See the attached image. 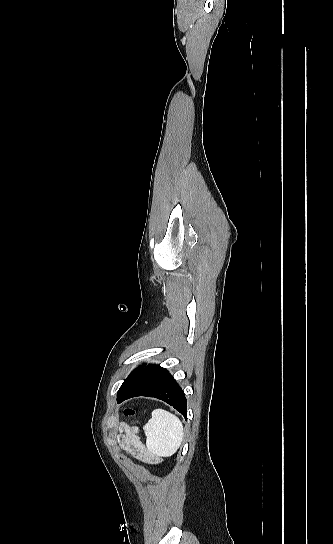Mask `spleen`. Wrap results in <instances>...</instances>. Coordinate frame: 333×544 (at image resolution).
Segmentation results:
<instances>
[{"label": "spleen", "mask_w": 333, "mask_h": 544, "mask_svg": "<svg viewBox=\"0 0 333 544\" xmlns=\"http://www.w3.org/2000/svg\"><path fill=\"white\" fill-rule=\"evenodd\" d=\"M150 451L159 456H171L180 447L184 429L180 419L164 409H156L143 427Z\"/></svg>", "instance_id": "obj_1"}]
</instances>
